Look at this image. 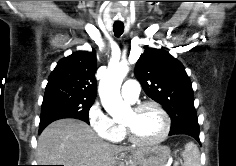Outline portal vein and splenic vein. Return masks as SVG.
<instances>
[{
    "label": "portal vein and splenic vein",
    "mask_w": 236,
    "mask_h": 166,
    "mask_svg": "<svg viewBox=\"0 0 236 166\" xmlns=\"http://www.w3.org/2000/svg\"><path fill=\"white\" fill-rule=\"evenodd\" d=\"M177 165H178V163H175V164H174V166H177Z\"/></svg>",
    "instance_id": "portal-vein-and-splenic-vein-1"
}]
</instances>
